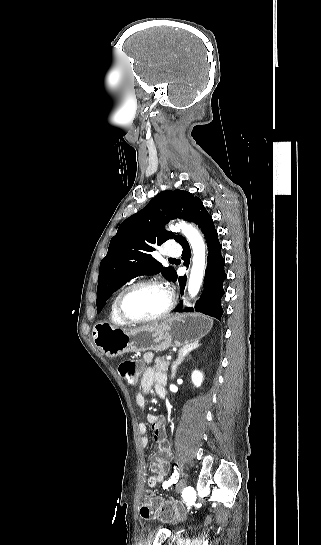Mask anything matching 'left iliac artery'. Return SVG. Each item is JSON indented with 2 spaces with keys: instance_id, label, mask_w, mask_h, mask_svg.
<instances>
[{
  "instance_id": "1",
  "label": "left iliac artery",
  "mask_w": 321,
  "mask_h": 545,
  "mask_svg": "<svg viewBox=\"0 0 321 545\" xmlns=\"http://www.w3.org/2000/svg\"><path fill=\"white\" fill-rule=\"evenodd\" d=\"M178 478H179V473L177 472L175 468L171 478L163 483V488L164 489L168 488L172 483L176 482Z\"/></svg>"
}]
</instances>
